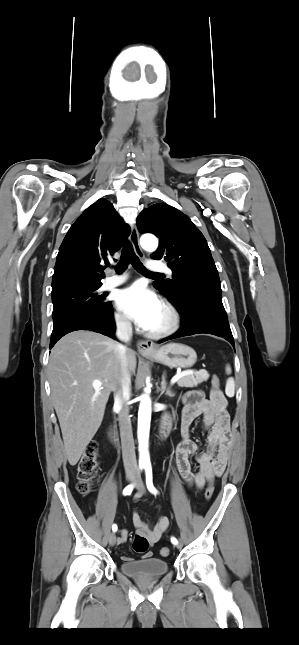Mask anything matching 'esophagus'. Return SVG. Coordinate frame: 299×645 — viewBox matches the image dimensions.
Listing matches in <instances>:
<instances>
[{
  "label": "esophagus",
  "mask_w": 299,
  "mask_h": 645,
  "mask_svg": "<svg viewBox=\"0 0 299 645\" xmlns=\"http://www.w3.org/2000/svg\"><path fill=\"white\" fill-rule=\"evenodd\" d=\"M130 242L132 243L135 252L137 253L138 256L142 257L143 256V251L140 247L139 244V233L136 228V226H132L131 228V234H130ZM137 348L140 354L142 355H149L152 353L156 352L155 345L152 341H139L137 344Z\"/></svg>",
  "instance_id": "34e87169"
}]
</instances>
